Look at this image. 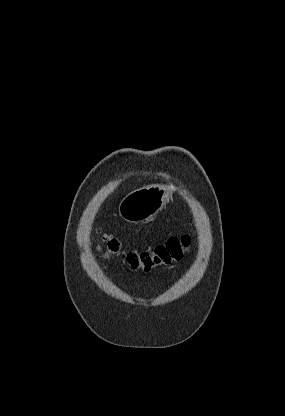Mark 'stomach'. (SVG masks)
I'll return each mask as SVG.
<instances>
[{"instance_id":"0dacf381","label":"stomach","mask_w":285,"mask_h":416,"mask_svg":"<svg viewBox=\"0 0 285 416\" xmlns=\"http://www.w3.org/2000/svg\"><path fill=\"white\" fill-rule=\"evenodd\" d=\"M171 190L173 186H160V184L134 190L121 200L118 208L119 216L122 220L133 224L149 220L164 208Z\"/></svg>"}]
</instances>
